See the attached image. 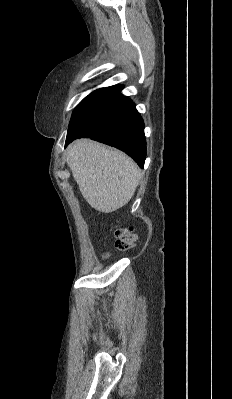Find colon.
<instances>
[{"instance_id":"colon-1","label":"colon","mask_w":232,"mask_h":399,"mask_svg":"<svg viewBox=\"0 0 232 399\" xmlns=\"http://www.w3.org/2000/svg\"><path fill=\"white\" fill-rule=\"evenodd\" d=\"M131 243L137 245V235L133 231L116 228V249H120V253H125V249H130Z\"/></svg>"}]
</instances>
